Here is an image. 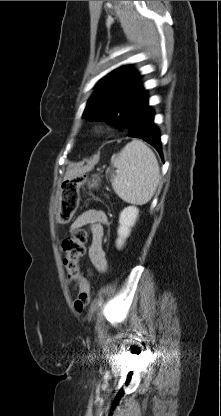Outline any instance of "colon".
Masks as SVG:
<instances>
[{
    "label": "colon",
    "instance_id": "obj_1",
    "mask_svg": "<svg viewBox=\"0 0 221 416\" xmlns=\"http://www.w3.org/2000/svg\"><path fill=\"white\" fill-rule=\"evenodd\" d=\"M86 181L84 176H76L67 180L62 185L57 221L60 224H67L73 218L79 202V187ZM87 234L83 229H76L66 237L62 247L66 253L65 267L69 277L78 285V294L74 302V307L78 312H82L90 302V286L88 280L80 270L79 262L85 254V243Z\"/></svg>",
    "mask_w": 221,
    "mask_h": 416
}]
</instances>
